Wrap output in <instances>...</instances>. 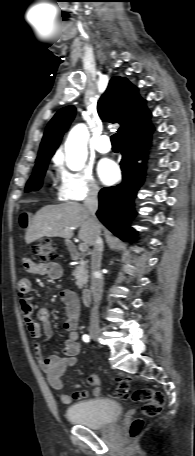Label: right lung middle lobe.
Masks as SVG:
<instances>
[{
  "label": "right lung middle lobe",
  "instance_id": "right-lung-middle-lobe-1",
  "mask_svg": "<svg viewBox=\"0 0 195 456\" xmlns=\"http://www.w3.org/2000/svg\"><path fill=\"white\" fill-rule=\"evenodd\" d=\"M49 160H50V157L44 158L37 162V164L35 165V168H34V172L27 183L26 190H25L26 192H29L32 190L36 191V190L40 189Z\"/></svg>",
  "mask_w": 195,
  "mask_h": 456
}]
</instances>
